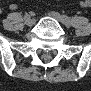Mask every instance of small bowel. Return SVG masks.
Returning a JSON list of instances; mask_svg holds the SVG:
<instances>
[{"label": "small bowel", "instance_id": "c3829d8e", "mask_svg": "<svg viewBox=\"0 0 91 91\" xmlns=\"http://www.w3.org/2000/svg\"><path fill=\"white\" fill-rule=\"evenodd\" d=\"M81 6L84 7V8L89 7V6H90V1L84 0V1L81 3ZM12 8L14 9L15 6L13 5Z\"/></svg>", "mask_w": 91, "mask_h": 91}]
</instances>
